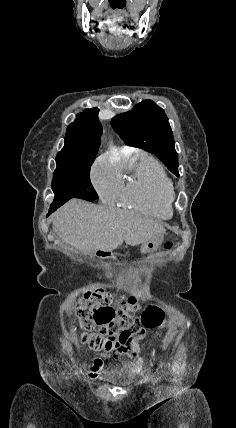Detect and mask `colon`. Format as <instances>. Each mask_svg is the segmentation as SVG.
I'll list each match as a JSON object with an SVG mask.
<instances>
[{"label":"colon","mask_w":236,"mask_h":428,"mask_svg":"<svg viewBox=\"0 0 236 428\" xmlns=\"http://www.w3.org/2000/svg\"><path fill=\"white\" fill-rule=\"evenodd\" d=\"M172 245L169 240L165 248L170 249ZM111 303V294L97 286L84 293L78 308L81 341L93 350H117L141 330L158 328L164 322L163 312L153 307L145 310L140 320L136 319L135 297L123 298L117 306Z\"/></svg>","instance_id":"colon-1"}]
</instances>
